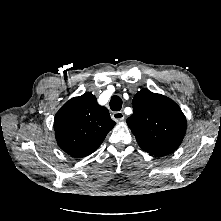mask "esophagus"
Listing matches in <instances>:
<instances>
[{
	"instance_id": "1",
	"label": "esophagus",
	"mask_w": 221,
	"mask_h": 221,
	"mask_svg": "<svg viewBox=\"0 0 221 221\" xmlns=\"http://www.w3.org/2000/svg\"><path fill=\"white\" fill-rule=\"evenodd\" d=\"M112 119L116 122H120L125 119V115L122 111H117L112 114Z\"/></svg>"
}]
</instances>
